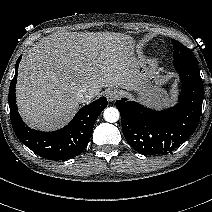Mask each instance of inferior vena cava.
<instances>
[{"instance_id":"inferior-vena-cava-1","label":"inferior vena cava","mask_w":212,"mask_h":212,"mask_svg":"<svg viewBox=\"0 0 212 212\" xmlns=\"http://www.w3.org/2000/svg\"><path fill=\"white\" fill-rule=\"evenodd\" d=\"M95 94L93 91L80 89L76 94V100L79 103H87L94 98Z\"/></svg>"}]
</instances>
